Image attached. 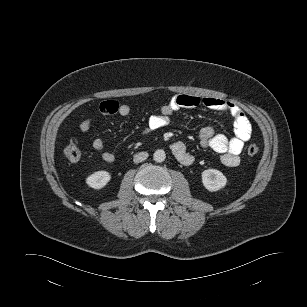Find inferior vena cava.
<instances>
[{"label":"inferior vena cava","instance_id":"obj_1","mask_svg":"<svg viewBox=\"0 0 307 307\" xmlns=\"http://www.w3.org/2000/svg\"><path fill=\"white\" fill-rule=\"evenodd\" d=\"M148 158V153L147 152H140L134 155L133 161L135 163H140L143 162Z\"/></svg>","mask_w":307,"mask_h":307}]
</instances>
